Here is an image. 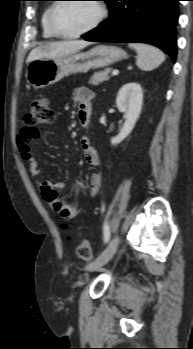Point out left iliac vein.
I'll list each match as a JSON object with an SVG mask.
<instances>
[{
    "label": "left iliac vein",
    "instance_id": "1",
    "mask_svg": "<svg viewBox=\"0 0 193 349\" xmlns=\"http://www.w3.org/2000/svg\"><path fill=\"white\" fill-rule=\"evenodd\" d=\"M119 244V237L118 235H115L105 248V250L101 253V255L90 265L87 266L88 271H97L99 270L102 266H104L106 263L111 260L113 255L115 254L117 247Z\"/></svg>",
    "mask_w": 193,
    "mask_h": 349
}]
</instances>
